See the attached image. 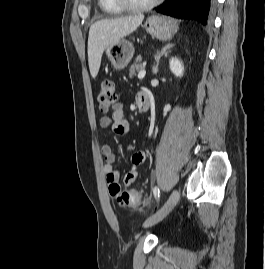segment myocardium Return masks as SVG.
Instances as JSON below:
<instances>
[{
    "instance_id": "1",
    "label": "myocardium",
    "mask_w": 265,
    "mask_h": 269,
    "mask_svg": "<svg viewBox=\"0 0 265 269\" xmlns=\"http://www.w3.org/2000/svg\"><path fill=\"white\" fill-rule=\"evenodd\" d=\"M121 8L128 11H143L155 7L163 0H150L146 3H134L131 0H114Z\"/></svg>"
}]
</instances>
